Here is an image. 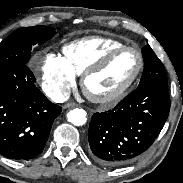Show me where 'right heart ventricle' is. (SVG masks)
I'll return each mask as SVG.
<instances>
[{"instance_id": "1", "label": "right heart ventricle", "mask_w": 183, "mask_h": 183, "mask_svg": "<svg viewBox=\"0 0 183 183\" xmlns=\"http://www.w3.org/2000/svg\"><path fill=\"white\" fill-rule=\"evenodd\" d=\"M124 45L122 42L103 36H91L73 41L62 49L66 66L75 74L83 72L97 62L112 48Z\"/></svg>"}]
</instances>
